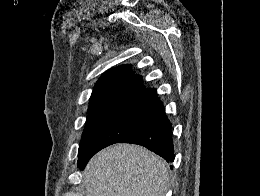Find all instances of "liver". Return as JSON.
Instances as JSON below:
<instances>
[{
	"mask_svg": "<svg viewBox=\"0 0 260 196\" xmlns=\"http://www.w3.org/2000/svg\"><path fill=\"white\" fill-rule=\"evenodd\" d=\"M84 186L86 196H165L168 166L143 146L114 144L90 160Z\"/></svg>",
	"mask_w": 260,
	"mask_h": 196,
	"instance_id": "6515ba94",
	"label": "liver"
}]
</instances>
